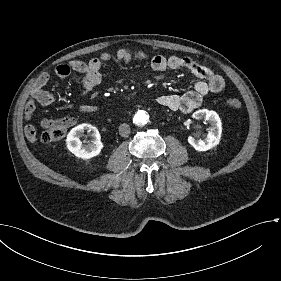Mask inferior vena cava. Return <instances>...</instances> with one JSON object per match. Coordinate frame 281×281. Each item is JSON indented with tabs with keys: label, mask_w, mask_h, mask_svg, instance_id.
<instances>
[{
	"label": "inferior vena cava",
	"mask_w": 281,
	"mask_h": 281,
	"mask_svg": "<svg viewBox=\"0 0 281 281\" xmlns=\"http://www.w3.org/2000/svg\"><path fill=\"white\" fill-rule=\"evenodd\" d=\"M119 134L122 137H127L130 134V127L128 124L123 123L119 126Z\"/></svg>",
	"instance_id": "inferior-vena-cava-1"
}]
</instances>
